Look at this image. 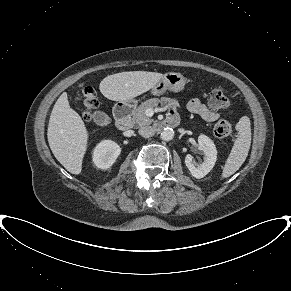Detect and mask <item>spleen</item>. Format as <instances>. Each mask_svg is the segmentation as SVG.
Listing matches in <instances>:
<instances>
[{
  "label": "spleen",
  "mask_w": 291,
  "mask_h": 291,
  "mask_svg": "<svg viewBox=\"0 0 291 291\" xmlns=\"http://www.w3.org/2000/svg\"><path fill=\"white\" fill-rule=\"evenodd\" d=\"M238 137L223 167L221 178L234 174L244 163L251 145V128L249 118L244 116L236 124Z\"/></svg>",
  "instance_id": "3e777b00"
}]
</instances>
